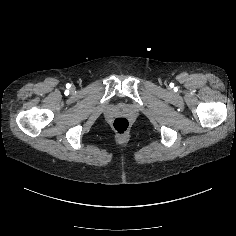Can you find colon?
<instances>
[{
    "label": "colon",
    "instance_id": "1",
    "mask_svg": "<svg viewBox=\"0 0 236 236\" xmlns=\"http://www.w3.org/2000/svg\"><path fill=\"white\" fill-rule=\"evenodd\" d=\"M130 123L124 117H118L113 120L112 127L114 131L120 135L125 134L129 130Z\"/></svg>",
    "mask_w": 236,
    "mask_h": 236
}]
</instances>
